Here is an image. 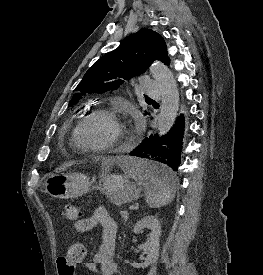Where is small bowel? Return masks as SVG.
<instances>
[{
  "mask_svg": "<svg viewBox=\"0 0 263 275\" xmlns=\"http://www.w3.org/2000/svg\"><path fill=\"white\" fill-rule=\"evenodd\" d=\"M96 226L102 230V242L99 251L86 263V267L91 274H96L100 269L103 275H114L117 269L114 259L117 225L114 219L105 208L98 207L90 216L75 223V229L81 233L88 232Z\"/></svg>",
  "mask_w": 263,
  "mask_h": 275,
  "instance_id": "c3829d8e",
  "label": "small bowel"
}]
</instances>
